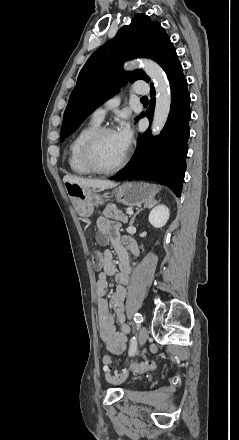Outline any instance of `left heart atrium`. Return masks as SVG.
<instances>
[{"label":"left heart atrium","mask_w":239,"mask_h":440,"mask_svg":"<svg viewBox=\"0 0 239 440\" xmlns=\"http://www.w3.org/2000/svg\"><path fill=\"white\" fill-rule=\"evenodd\" d=\"M119 139L121 140L123 146L128 149L131 144L133 132L131 126L127 120H124L118 130L116 131Z\"/></svg>","instance_id":"left-heart-atrium-1"}]
</instances>
